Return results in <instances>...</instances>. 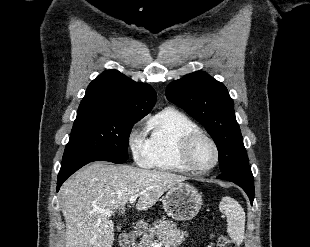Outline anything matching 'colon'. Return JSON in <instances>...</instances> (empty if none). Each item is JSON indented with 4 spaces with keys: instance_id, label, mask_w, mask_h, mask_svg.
<instances>
[{
    "instance_id": "1",
    "label": "colon",
    "mask_w": 310,
    "mask_h": 247,
    "mask_svg": "<svg viewBox=\"0 0 310 247\" xmlns=\"http://www.w3.org/2000/svg\"><path fill=\"white\" fill-rule=\"evenodd\" d=\"M218 247H238L237 244L228 236L221 235L217 239Z\"/></svg>"
}]
</instances>
